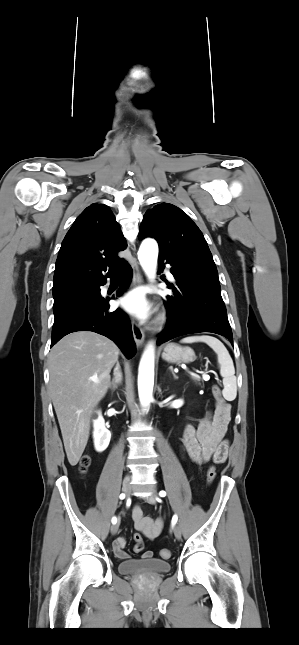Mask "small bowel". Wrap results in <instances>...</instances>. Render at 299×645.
<instances>
[{
  "instance_id": "obj_1",
  "label": "small bowel",
  "mask_w": 299,
  "mask_h": 645,
  "mask_svg": "<svg viewBox=\"0 0 299 645\" xmlns=\"http://www.w3.org/2000/svg\"><path fill=\"white\" fill-rule=\"evenodd\" d=\"M229 421V405L216 403L214 410L207 412L197 427L191 424L185 426L182 436L183 454L199 465L210 460L223 463L227 459L229 450V442L226 439ZM132 518L135 529L148 539H155L160 535L163 528L162 519L154 520L151 517L144 516L138 505L133 507ZM125 545L126 539L122 536L118 537L113 543L115 556L122 560L129 558L124 551ZM151 557V551L143 554L144 559Z\"/></svg>"
}]
</instances>
